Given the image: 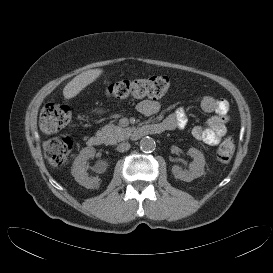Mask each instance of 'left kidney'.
<instances>
[{
	"label": "left kidney",
	"instance_id": "obj_1",
	"mask_svg": "<svg viewBox=\"0 0 273 273\" xmlns=\"http://www.w3.org/2000/svg\"><path fill=\"white\" fill-rule=\"evenodd\" d=\"M188 155L193 158L192 163L189 166V170H183L178 165L172 167V173L175 178L190 182L195 178L201 177L204 174V167L206 164L204 155L198 149L191 147L188 150Z\"/></svg>",
	"mask_w": 273,
	"mask_h": 273
}]
</instances>
